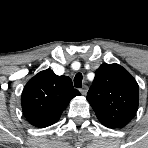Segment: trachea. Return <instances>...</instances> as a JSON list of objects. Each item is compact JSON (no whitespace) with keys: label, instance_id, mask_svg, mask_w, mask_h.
<instances>
[{"label":"trachea","instance_id":"3493384b","mask_svg":"<svg viewBox=\"0 0 148 148\" xmlns=\"http://www.w3.org/2000/svg\"><path fill=\"white\" fill-rule=\"evenodd\" d=\"M82 80H83V76L81 73H77L75 75V78H74V86L76 88H82Z\"/></svg>","mask_w":148,"mask_h":148}]
</instances>
